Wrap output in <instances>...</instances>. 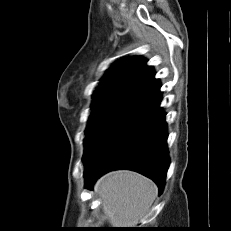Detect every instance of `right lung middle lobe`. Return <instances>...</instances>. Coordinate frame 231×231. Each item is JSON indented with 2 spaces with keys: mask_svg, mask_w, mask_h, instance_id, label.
Returning a JSON list of instances; mask_svg holds the SVG:
<instances>
[{
  "mask_svg": "<svg viewBox=\"0 0 231 231\" xmlns=\"http://www.w3.org/2000/svg\"><path fill=\"white\" fill-rule=\"evenodd\" d=\"M149 107L148 103L131 97H107L94 101L85 131L84 165L120 128Z\"/></svg>",
  "mask_w": 231,
  "mask_h": 231,
  "instance_id": "right-lung-middle-lobe-1",
  "label": "right lung middle lobe"
}]
</instances>
